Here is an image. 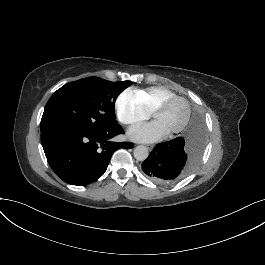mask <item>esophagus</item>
<instances>
[{
    "label": "esophagus",
    "mask_w": 265,
    "mask_h": 265,
    "mask_svg": "<svg viewBox=\"0 0 265 265\" xmlns=\"http://www.w3.org/2000/svg\"><path fill=\"white\" fill-rule=\"evenodd\" d=\"M147 148L151 151L154 148V145L149 144V145H147Z\"/></svg>",
    "instance_id": "1"
}]
</instances>
